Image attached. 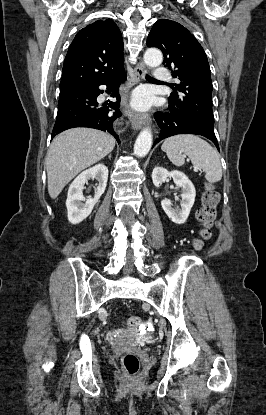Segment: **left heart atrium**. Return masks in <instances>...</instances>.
Returning a JSON list of instances; mask_svg holds the SVG:
<instances>
[{
    "mask_svg": "<svg viewBox=\"0 0 266 415\" xmlns=\"http://www.w3.org/2000/svg\"><path fill=\"white\" fill-rule=\"evenodd\" d=\"M150 100L149 95L144 91L140 90L136 92L134 96V105L139 109H146L149 107Z\"/></svg>",
    "mask_w": 266,
    "mask_h": 415,
    "instance_id": "obj_1",
    "label": "left heart atrium"
}]
</instances>
